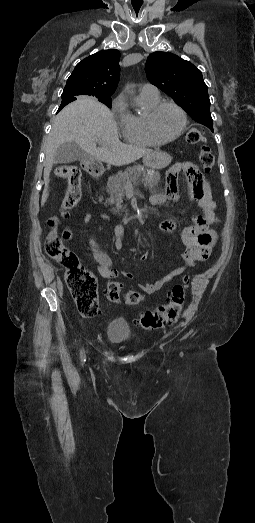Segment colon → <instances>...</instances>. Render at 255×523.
I'll list each match as a JSON object with an SVG mask.
<instances>
[{
  "mask_svg": "<svg viewBox=\"0 0 255 523\" xmlns=\"http://www.w3.org/2000/svg\"><path fill=\"white\" fill-rule=\"evenodd\" d=\"M185 140L191 145L199 144L204 141L203 132L199 128L192 127L188 130ZM200 162L206 173L210 172L214 166V154L206 145H203L200 149ZM56 174L59 178L67 180L68 188L59 212L48 221L50 231L45 240V251L50 258L64 268L66 285L79 312L84 316H94L98 312L97 279L82 264L79 257L64 245L63 240L58 235L61 219L65 218L67 212L80 201L81 172L75 166H62L56 170ZM106 295L108 300L113 303L123 299L129 306H135L143 300L142 295L136 291L122 294L120 286L114 282L109 283ZM184 299L185 286L175 285L164 304L140 314L137 320L138 324L146 330H154L176 322L181 315Z\"/></svg>",
  "mask_w": 255,
  "mask_h": 523,
  "instance_id": "colon-1",
  "label": "colon"
}]
</instances>
